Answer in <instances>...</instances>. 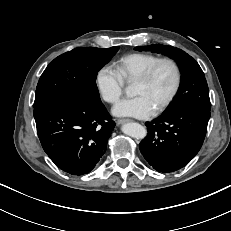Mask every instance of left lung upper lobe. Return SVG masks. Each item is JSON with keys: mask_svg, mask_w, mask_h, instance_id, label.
<instances>
[{"mask_svg": "<svg viewBox=\"0 0 231 231\" xmlns=\"http://www.w3.org/2000/svg\"><path fill=\"white\" fill-rule=\"evenodd\" d=\"M138 51L162 53L174 59L182 73L181 85L175 99L164 112L182 107H197L210 110L209 89L202 69L194 58L181 49L169 45L152 44L136 47Z\"/></svg>", "mask_w": 231, "mask_h": 231, "instance_id": "obj_1", "label": "left lung upper lobe"}]
</instances>
